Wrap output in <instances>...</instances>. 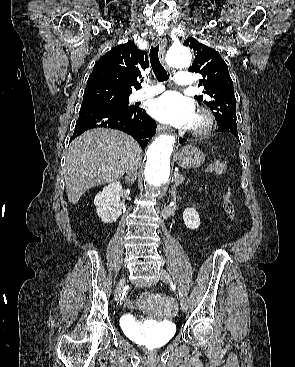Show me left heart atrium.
Instances as JSON below:
<instances>
[{
    "label": "left heart atrium",
    "instance_id": "1",
    "mask_svg": "<svg viewBox=\"0 0 295 367\" xmlns=\"http://www.w3.org/2000/svg\"><path fill=\"white\" fill-rule=\"evenodd\" d=\"M149 113L158 121L175 127L189 126L194 121L191 100L176 91H169L152 100Z\"/></svg>",
    "mask_w": 295,
    "mask_h": 367
}]
</instances>
